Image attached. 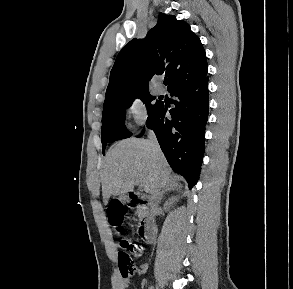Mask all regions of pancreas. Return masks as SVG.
I'll return each mask as SVG.
<instances>
[{
  "instance_id": "1",
  "label": "pancreas",
  "mask_w": 293,
  "mask_h": 289,
  "mask_svg": "<svg viewBox=\"0 0 293 289\" xmlns=\"http://www.w3.org/2000/svg\"><path fill=\"white\" fill-rule=\"evenodd\" d=\"M138 213H139L140 216H142L144 214L143 209H139Z\"/></svg>"
}]
</instances>
